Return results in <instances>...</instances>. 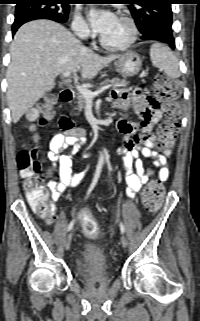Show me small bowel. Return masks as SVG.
I'll return each instance as SVG.
<instances>
[{
  "mask_svg": "<svg viewBox=\"0 0 200 321\" xmlns=\"http://www.w3.org/2000/svg\"><path fill=\"white\" fill-rule=\"evenodd\" d=\"M110 98L115 108L126 112L133 111L136 115L135 121L126 118L117 121L118 131L124 136L120 153L123 156L125 181L128 195L133 199L149 179L142 158L150 159L159 169L161 181H166L169 177L167 154L156 151V137L153 133L155 125L163 116L164 107L144 89L135 90L131 94L126 90H115L111 92ZM84 141L83 131L57 134L50 141L46 157L52 163L47 174L52 215L47 218L48 224L55 221L56 202L76 181L72 171V156Z\"/></svg>",
  "mask_w": 200,
  "mask_h": 321,
  "instance_id": "small-bowel-1",
  "label": "small bowel"
}]
</instances>
